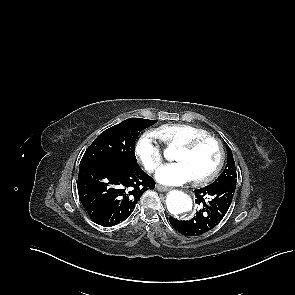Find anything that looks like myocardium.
Returning <instances> with one entry per match:
<instances>
[{"mask_svg":"<svg viewBox=\"0 0 295 295\" xmlns=\"http://www.w3.org/2000/svg\"><path fill=\"white\" fill-rule=\"evenodd\" d=\"M207 140H212L216 142L219 149V160L211 173H209L208 175L204 177L194 179V181L198 184H206L211 182L219 175L220 171L222 170L224 162H225V157H226V153H225V149H224V145L222 141L218 137L212 134H206V135L196 137L192 139L191 141H189L188 143L179 147V150L190 153L194 151L200 144H202L203 142Z\"/></svg>","mask_w":295,"mask_h":295,"instance_id":"obj_1","label":"myocardium"}]
</instances>
